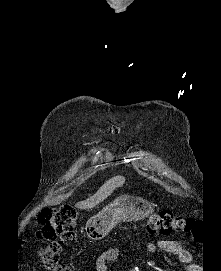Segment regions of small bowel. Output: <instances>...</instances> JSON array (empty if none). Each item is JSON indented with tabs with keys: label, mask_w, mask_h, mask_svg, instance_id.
Segmentation results:
<instances>
[{
	"label": "small bowel",
	"mask_w": 221,
	"mask_h": 271,
	"mask_svg": "<svg viewBox=\"0 0 221 271\" xmlns=\"http://www.w3.org/2000/svg\"><path fill=\"white\" fill-rule=\"evenodd\" d=\"M144 249L148 254H154L158 250L174 254L185 264L186 270L191 271L192 256L191 253L182 247V245L173 239H161L156 242L146 241ZM120 255L119 247H112L102 252L95 261L96 271H109V263L114 262Z\"/></svg>",
	"instance_id": "small-bowel-1"
}]
</instances>
